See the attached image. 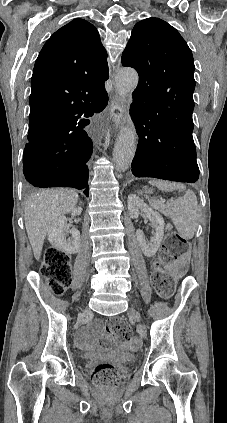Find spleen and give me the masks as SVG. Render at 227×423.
Instances as JSON below:
<instances>
[{
  "label": "spleen",
  "mask_w": 227,
  "mask_h": 423,
  "mask_svg": "<svg viewBox=\"0 0 227 423\" xmlns=\"http://www.w3.org/2000/svg\"><path fill=\"white\" fill-rule=\"evenodd\" d=\"M151 186H157L162 192H173V190H186L183 184H170L162 180H150ZM150 206L171 217L179 235L184 239H191L195 233L198 223V202L192 190H186L182 198H171L167 204H162L156 198H151Z\"/></svg>",
  "instance_id": "3e777b00"
}]
</instances>
